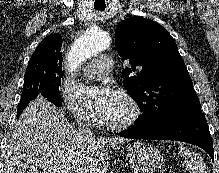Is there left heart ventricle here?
<instances>
[{"mask_svg": "<svg viewBox=\"0 0 219 173\" xmlns=\"http://www.w3.org/2000/svg\"><path fill=\"white\" fill-rule=\"evenodd\" d=\"M129 114H130L129 105L122 99L121 96H119L116 104L114 105L111 112L108 114L105 121L119 122L127 118Z\"/></svg>", "mask_w": 219, "mask_h": 173, "instance_id": "left-heart-ventricle-1", "label": "left heart ventricle"}]
</instances>
